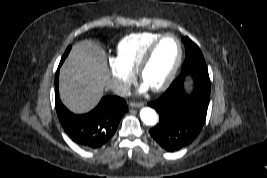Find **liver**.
Instances as JSON below:
<instances>
[{
  "label": "liver",
  "mask_w": 267,
  "mask_h": 178,
  "mask_svg": "<svg viewBox=\"0 0 267 178\" xmlns=\"http://www.w3.org/2000/svg\"><path fill=\"white\" fill-rule=\"evenodd\" d=\"M111 83L105 51L92 40L76 43L60 69L63 103L75 113L91 110Z\"/></svg>",
  "instance_id": "liver-1"
}]
</instances>
